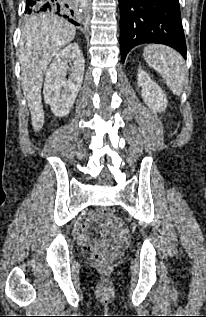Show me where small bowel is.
Returning <instances> with one entry per match:
<instances>
[{"label":"small bowel","instance_id":"1","mask_svg":"<svg viewBox=\"0 0 206 317\" xmlns=\"http://www.w3.org/2000/svg\"><path fill=\"white\" fill-rule=\"evenodd\" d=\"M97 220H99L98 213L90 212L89 221H97ZM88 227H89V223L87 222L80 225L77 228V234H78L79 240L83 245L87 244L90 241L89 236L87 234ZM127 234H128V231H127V228L124 226V224L120 227H117L116 232L113 230L106 231V236L111 240H114L115 238H117V240L119 241H125L127 239Z\"/></svg>","mask_w":206,"mask_h":317}]
</instances>
